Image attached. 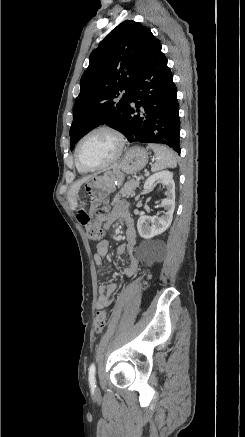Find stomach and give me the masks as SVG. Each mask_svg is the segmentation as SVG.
<instances>
[{"instance_id": "0dacf381", "label": "stomach", "mask_w": 245, "mask_h": 437, "mask_svg": "<svg viewBox=\"0 0 245 437\" xmlns=\"http://www.w3.org/2000/svg\"><path fill=\"white\" fill-rule=\"evenodd\" d=\"M148 162L147 151L140 146L129 148L121 163L103 175L94 174L84 183V191L90 199L91 208L102 204L108 195L121 185L125 174H134L142 170Z\"/></svg>"}]
</instances>
